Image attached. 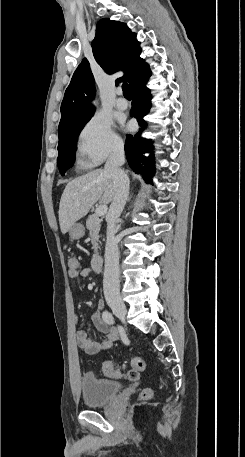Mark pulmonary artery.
Masks as SVG:
<instances>
[{
  "instance_id": "pulmonary-artery-1",
  "label": "pulmonary artery",
  "mask_w": 245,
  "mask_h": 457,
  "mask_svg": "<svg viewBox=\"0 0 245 457\" xmlns=\"http://www.w3.org/2000/svg\"><path fill=\"white\" fill-rule=\"evenodd\" d=\"M121 94H122V90L118 89L117 90V95L120 96ZM115 106L119 110H125L128 107V102L126 101V99H124L122 97H118L116 99Z\"/></svg>"
}]
</instances>
